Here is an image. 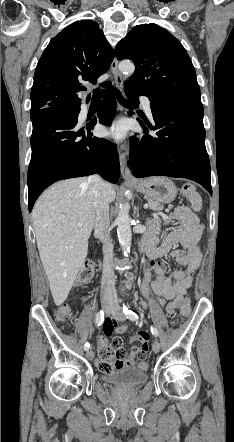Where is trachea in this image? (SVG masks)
I'll list each match as a JSON object with an SVG mask.
<instances>
[{
	"mask_svg": "<svg viewBox=\"0 0 234 442\" xmlns=\"http://www.w3.org/2000/svg\"><path fill=\"white\" fill-rule=\"evenodd\" d=\"M115 95H116V98L118 99V101L120 102V104H122L123 106H126V107L130 106V103L125 98H123V96L121 95V93L117 89L115 90ZM101 98H102V95L99 92L94 93L93 100H100Z\"/></svg>",
	"mask_w": 234,
	"mask_h": 442,
	"instance_id": "trachea-1",
	"label": "trachea"
}]
</instances>
